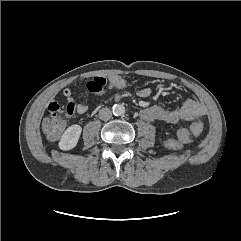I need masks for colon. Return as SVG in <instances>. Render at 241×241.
I'll return each instance as SVG.
<instances>
[{
    "label": "colon",
    "instance_id": "1",
    "mask_svg": "<svg viewBox=\"0 0 241 241\" xmlns=\"http://www.w3.org/2000/svg\"><path fill=\"white\" fill-rule=\"evenodd\" d=\"M106 85V79L103 77H95L86 84L87 89L92 93H102ZM76 105L73 102H69L65 108H62L58 103H51L48 106L49 116L44 121L43 129L47 136L51 139L58 138L65 127L66 120L74 114ZM203 130V124L201 121H195L189 128L191 136H198ZM166 146L174 151H180L183 148V144L178 140H168Z\"/></svg>",
    "mask_w": 241,
    "mask_h": 241
}]
</instances>
